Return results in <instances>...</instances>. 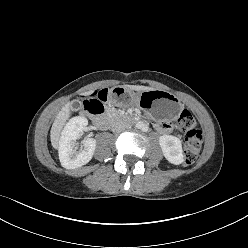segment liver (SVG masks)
I'll list each match as a JSON object with an SVG mask.
<instances>
[{"mask_svg": "<svg viewBox=\"0 0 248 248\" xmlns=\"http://www.w3.org/2000/svg\"><path fill=\"white\" fill-rule=\"evenodd\" d=\"M127 88L135 91H150L153 90L151 87L146 86H139V85H126ZM92 91L86 92V95H90ZM70 105L71 103H67L57 114L55 121L52 125L51 132H50V139L51 144L55 149L59 148V141H60V135L61 131L63 129V126L65 125V122L70 117Z\"/></svg>", "mask_w": 248, "mask_h": 248, "instance_id": "obj_1", "label": "liver"}]
</instances>
